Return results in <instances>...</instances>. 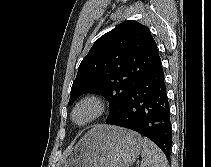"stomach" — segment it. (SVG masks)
<instances>
[{"instance_id": "0dacf381", "label": "stomach", "mask_w": 211, "mask_h": 167, "mask_svg": "<svg viewBox=\"0 0 211 167\" xmlns=\"http://www.w3.org/2000/svg\"><path fill=\"white\" fill-rule=\"evenodd\" d=\"M142 148L143 140L137 132L99 125L67 152L59 167H130Z\"/></svg>"}]
</instances>
